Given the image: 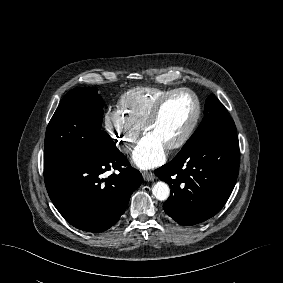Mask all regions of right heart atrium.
<instances>
[{"label": "right heart atrium", "mask_w": 283, "mask_h": 283, "mask_svg": "<svg viewBox=\"0 0 283 283\" xmlns=\"http://www.w3.org/2000/svg\"><path fill=\"white\" fill-rule=\"evenodd\" d=\"M104 124L117 148L123 153L131 152L140 135V129L120 109H109L104 115Z\"/></svg>", "instance_id": "d8ad5b80"}]
</instances>
